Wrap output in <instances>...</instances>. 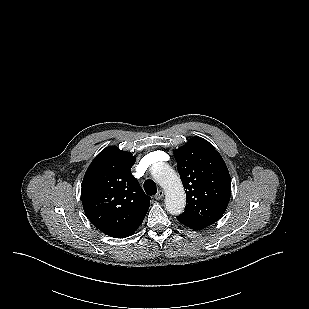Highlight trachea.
I'll return each instance as SVG.
<instances>
[{
  "label": "trachea",
  "mask_w": 309,
  "mask_h": 309,
  "mask_svg": "<svg viewBox=\"0 0 309 309\" xmlns=\"http://www.w3.org/2000/svg\"><path fill=\"white\" fill-rule=\"evenodd\" d=\"M143 187L147 195H155L157 193L156 184L152 180H146Z\"/></svg>",
  "instance_id": "3493384b"
}]
</instances>
